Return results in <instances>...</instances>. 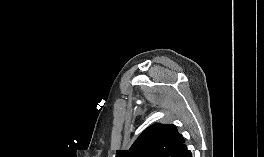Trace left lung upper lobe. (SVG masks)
Masks as SVG:
<instances>
[{"instance_id": "5c2ea615", "label": "left lung upper lobe", "mask_w": 264, "mask_h": 157, "mask_svg": "<svg viewBox=\"0 0 264 157\" xmlns=\"http://www.w3.org/2000/svg\"><path fill=\"white\" fill-rule=\"evenodd\" d=\"M184 137L173 124L156 123L137 138L129 150H117L116 157H191Z\"/></svg>"}]
</instances>
